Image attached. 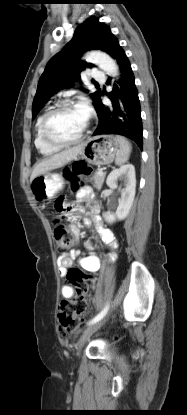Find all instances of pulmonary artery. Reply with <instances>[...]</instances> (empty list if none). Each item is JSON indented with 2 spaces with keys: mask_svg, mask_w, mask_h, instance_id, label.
Returning <instances> with one entry per match:
<instances>
[{
  "mask_svg": "<svg viewBox=\"0 0 187 415\" xmlns=\"http://www.w3.org/2000/svg\"><path fill=\"white\" fill-rule=\"evenodd\" d=\"M90 74L92 79L96 82H103L105 79L104 73L100 70L92 69Z\"/></svg>",
  "mask_w": 187,
  "mask_h": 415,
  "instance_id": "e3ab8cb5",
  "label": "pulmonary artery"
}]
</instances>
